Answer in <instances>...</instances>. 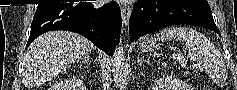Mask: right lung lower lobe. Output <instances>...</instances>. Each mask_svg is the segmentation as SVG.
Instances as JSON below:
<instances>
[{"label":"right lung lower lobe","instance_id":"98d812e1","mask_svg":"<svg viewBox=\"0 0 237 90\" xmlns=\"http://www.w3.org/2000/svg\"><path fill=\"white\" fill-rule=\"evenodd\" d=\"M121 24V10L115 2L100 8L91 2L40 4L26 48L45 32L67 30L83 35L107 55H113L120 40Z\"/></svg>","mask_w":237,"mask_h":90}]
</instances>
